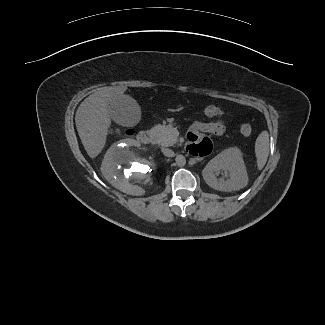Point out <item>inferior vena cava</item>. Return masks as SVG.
Segmentation results:
<instances>
[{
    "label": "inferior vena cava",
    "instance_id": "602c4592",
    "mask_svg": "<svg viewBox=\"0 0 325 325\" xmlns=\"http://www.w3.org/2000/svg\"><path fill=\"white\" fill-rule=\"evenodd\" d=\"M162 153L167 157H173L174 156V152L171 149H168V148H163Z\"/></svg>",
    "mask_w": 325,
    "mask_h": 325
}]
</instances>
